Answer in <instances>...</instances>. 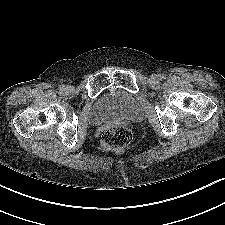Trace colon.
Wrapping results in <instances>:
<instances>
[{"mask_svg":"<svg viewBox=\"0 0 225 225\" xmlns=\"http://www.w3.org/2000/svg\"><path fill=\"white\" fill-rule=\"evenodd\" d=\"M133 139L129 128L118 125L108 128L101 136L100 144L105 150L122 149L128 146Z\"/></svg>","mask_w":225,"mask_h":225,"instance_id":"1","label":"colon"}]
</instances>
